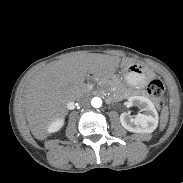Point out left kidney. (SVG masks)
<instances>
[{
	"label": "left kidney",
	"instance_id": "5707ae66",
	"mask_svg": "<svg viewBox=\"0 0 183 183\" xmlns=\"http://www.w3.org/2000/svg\"><path fill=\"white\" fill-rule=\"evenodd\" d=\"M128 102L130 105H136L140 112L135 117L122 113L120 115L122 126L134 133H152L159 122L158 113L152 101L144 96H130Z\"/></svg>",
	"mask_w": 183,
	"mask_h": 183
}]
</instances>
